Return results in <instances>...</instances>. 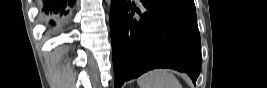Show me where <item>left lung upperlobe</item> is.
I'll return each mask as SVG.
<instances>
[{
    "label": "left lung upper lobe",
    "instance_id": "left-lung-upper-lobe-1",
    "mask_svg": "<svg viewBox=\"0 0 267 88\" xmlns=\"http://www.w3.org/2000/svg\"><path fill=\"white\" fill-rule=\"evenodd\" d=\"M158 1L196 12L193 0H158Z\"/></svg>",
    "mask_w": 267,
    "mask_h": 88
}]
</instances>
